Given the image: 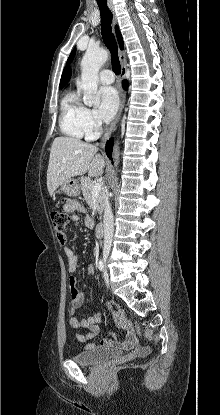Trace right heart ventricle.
Returning a JSON list of instances; mask_svg holds the SVG:
<instances>
[{
  "label": "right heart ventricle",
  "mask_w": 220,
  "mask_h": 415,
  "mask_svg": "<svg viewBox=\"0 0 220 415\" xmlns=\"http://www.w3.org/2000/svg\"><path fill=\"white\" fill-rule=\"evenodd\" d=\"M85 107L81 103L78 95L67 92L60 105L59 128L60 131L69 137L81 139L83 137L91 139L88 135L85 118Z\"/></svg>",
  "instance_id": "obj_1"
}]
</instances>
